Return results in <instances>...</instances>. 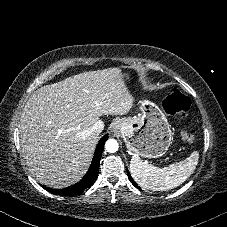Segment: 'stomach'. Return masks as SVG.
Masks as SVG:
<instances>
[{
  "mask_svg": "<svg viewBox=\"0 0 227 227\" xmlns=\"http://www.w3.org/2000/svg\"><path fill=\"white\" fill-rule=\"evenodd\" d=\"M124 79L130 80L132 74L122 72ZM117 132L121 134L127 148L147 158H158L166 153L172 143L171 126L162 110L153 102H140V114L120 119Z\"/></svg>",
  "mask_w": 227,
  "mask_h": 227,
  "instance_id": "obj_1",
  "label": "stomach"
}]
</instances>
